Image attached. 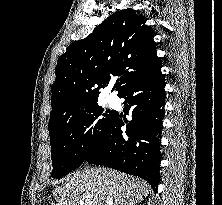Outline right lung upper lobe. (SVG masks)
<instances>
[{"instance_id": "cb5924a9", "label": "right lung upper lobe", "mask_w": 222, "mask_h": 205, "mask_svg": "<svg viewBox=\"0 0 222 205\" xmlns=\"http://www.w3.org/2000/svg\"><path fill=\"white\" fill-rule=\"evenodd\" d=\"M154 31L128 8L118 10L86 38L74 41L58 59L49 124L97 104L112 77L118 96L132 83L162 67Z\"/></svg>"}]
</instances>
